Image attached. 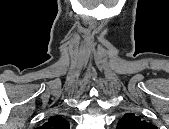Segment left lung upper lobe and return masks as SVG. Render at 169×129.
I'll use <instances>...</instances> for the list:
<instances>
[{
  "instance_id": "5c2ea615",
  "label": "left lung upper lobe",
  "mask_w": 169,
  "mask_h": 129,
  "mask_svg": "<svg viewBox=\"0 0 169 129\" xmlns=\"http://www.w3.org/2000/svg\"><path fill=\"white\" fill-rule=\"evenodd\" d=\"M151 123H147L133 113L125 114L119 121L117 129H155Z\"/></svg>"
}]
</instances>
